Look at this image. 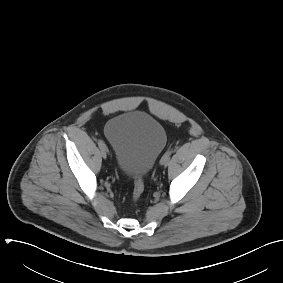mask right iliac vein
I'll return each instance as SVG.
<instances>
[{
	"mask_svg": "<svg viewBox=\"0 0 283 283\" xmlns=\"http://www.w3.org/2000/svg\"><path fill=\"white\" fill-rule=\"evenodd\" d=\"M101 156L106 159L107 158V151L106 150H101Z\"/></svg>",
	"mask_w": 283,
	"mask_h": 283,
	"instance_id": "obj_1",
	"label": "right iliac vein"
}]
</instances>
